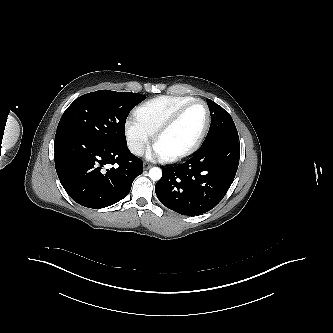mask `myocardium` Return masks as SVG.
I'll return each instance as SVG.
<instances>
[{
	"label": "myocardium",
	"mask_w": 333,
	"mask_h": 333,
	"mask_svg": "<svg viewBox=\"0 0 333 333\" xmlns=\"http://www.w3.org/2000/svg\"><path fill=\"white\" fill-rule=\"evenodd\" d=\"M195 104H202L205 109H206V121L203 126V129L197 139L194 141V143L187 148L186 150L165 156L164 160L167 162H176L183 160L192 154H194L202 145L203 141L205 140L207 133L209 131L210 125H211V110L208 104L202 100V99H193L190 102L182 105L179 107L154 133V146L156 147L157 142L159 139L168 131L170 130L176 123L177 121L181 118V116L185 113L186 110H188L191 106Z\"/></svg>",
	"instance_id": "obj_1"
}]
</instances>
